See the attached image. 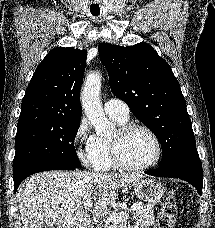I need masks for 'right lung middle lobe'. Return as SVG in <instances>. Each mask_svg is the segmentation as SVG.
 <instances>
[{"instance_id": "obj_1", "label": "right lung middle lobe", "mask_w": 215, "mask_h": 228, "mask_svg": "<svg viewBox=\"0 0 215 228\" xmlns=\"http://www.w3.org/2000/svg\"><path fill=\"white\" fill-rule=\"evenodd\" d=\"M80 120L35 123L18 127L13 170L37 163L80 167L74 140Z\"/></svg>"}]
</instances>
